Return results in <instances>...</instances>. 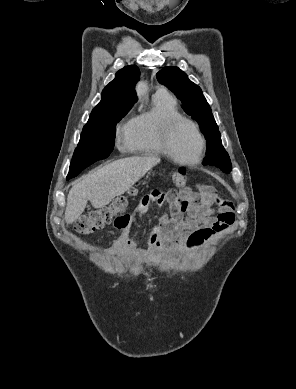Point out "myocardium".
<instances>
[{"mask_svg":"<svg viewBox=\"0 0 296 389\" xmlns=\"http://www.w3.org/2000/svg\"><path fill=\"white\" fill-rule=\"evenodd\" d=\"M180 123H187L190 126H192L193 129L195 130L197 136H198V139L200 142L199 153H198L197 157L193 160H185V159L179 158L174 153V151L172 149V144H171L172 135H173L175 128ZM160 143H161V147H162L164 154H166L173 161L180 163V164H184V165L198 164L202 160L204 153H205V150H206V139H205L199 125L194 120L187 118L185 116H182V115L171 116L163 122L162 127H161V131H160Z\"/></svg>","mask_w":296,"mask_h":389,"instance_id":"obj_1","label":"myocardium"}]
</instances>
